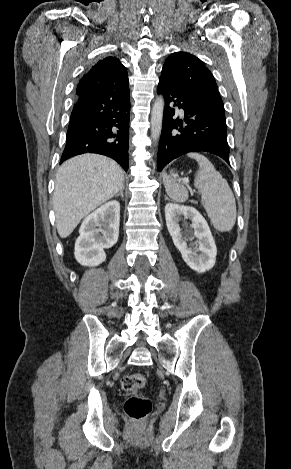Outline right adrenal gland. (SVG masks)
<instances>
[{"label":"right adrenal gland","instance_id":"2a0ac1e0","mask_svg":"<svg viewBox=\"0 0 291 469\" xmlns=\"http://www.w3.org/2000/svg\"><path fill=\"white\" fill-rule=\"evenodd\" d=\"M123 191H124V186H123V187L121 188V190L115 195V197H118V196L120 195L122 198H124V193H123Z\"/></svg>","mask_w":291,"mask_h":469}]
</instances>
